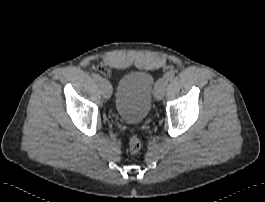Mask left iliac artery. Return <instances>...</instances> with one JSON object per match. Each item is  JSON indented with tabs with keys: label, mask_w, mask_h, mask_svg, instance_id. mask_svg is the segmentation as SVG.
Listing matches in <instances>:
<instances>
[{
	"label": "left iliac artery",
	"mask_w": 265,
	"mask_h": 202,
	"mask_svg": "<svg viewBox=\"0 0 265 202\" xmlns=\"http://www.w3.org/2000/svg\"><path fill=\"white\" fill-rule=\"evenodd\" d=\"M174 76H175V74H174L173 72H168V73L165 74L164 77H165L167 80H172V79L174 78Z\"/></svg>",
	"instance_id": "44dca946"
}]
</instances>
